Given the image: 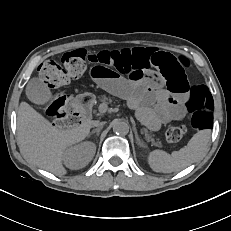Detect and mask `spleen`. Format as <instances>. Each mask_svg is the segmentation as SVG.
Masks as SVG:
<instances>
[{"label":"spleen","instance_id":"3e777b00","mask_svg":"<svg viewBox=\"0 0 231 231\" xmlns=\"http://www.w3.org/2000/svg\"><path fill=\"white\" fill-rule=\"evenodd\" d=\"M211 132L209 129L198 131L188 144L178 151L168 154L162 150H153L148 155V164L155 172H179L194 163L205 151Z\"/></svg>","mask_w":231,"mask_h":231}]
</instances>
